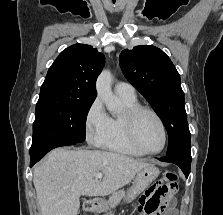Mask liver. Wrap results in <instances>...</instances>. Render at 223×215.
Returning a JSON list of instances; mask_svg holds the SVG:
<instances>
[{
    "label": "liver",
    "instance_id": "1",
    "mask_svg": "<svg viewBox=\"0 0 223 215\" xmlns=\"http://www.w3.org/2000/svg\"><path fill=\"white\" fill-rule=\"evenodd\" d=\"M144 159L98 149L56 147L33 171L43 215H78L80 195H109L146 167ZM96 173H104L95 177Z\"/></svg>",
    "mask_w": 223,
    "mask_h": 215
}]
</instances>
